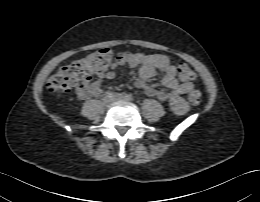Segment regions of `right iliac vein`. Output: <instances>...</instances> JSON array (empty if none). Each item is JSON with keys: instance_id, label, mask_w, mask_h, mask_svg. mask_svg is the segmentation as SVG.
<instances>
[{"instance_id": "obj_1", "label": "right iliac vein", "mask_w": 260, "mask_h": 202, "mask_svg": "<svg viewBox=\"0 0 260 202\" xmlns=\"http://www.w3.org/2000/svg\"><path fill=\"white\" fill-rule=\"evenodd\" d=\"M113 101V97L105 96L103 98V104L106 106L110 105Z\"/></svg>"}]
</instances>
